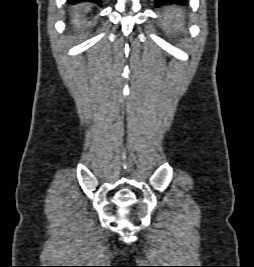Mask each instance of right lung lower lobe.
Segmentation results:
<instances>
[{
	"label": "right lung lower lobe",
	"instance_id": "obj_1",
	"mask_svg": "<svg viewBox=\"0 0 254 267\" xmlns=\"http://www.w3.org/2000/svg\"><path fill=\"white\" fill-rule=\"evenodd\" d=\"M72 3H77V2H82V1H91V2H95L97 4H101V0H69Z\"/></svg>",
	"mask_w": 254,
	"mask_h": 267
}]
</instances>
